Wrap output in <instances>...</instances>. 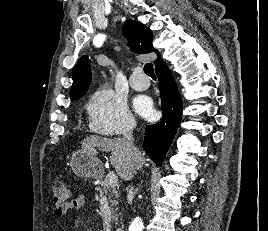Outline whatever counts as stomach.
<instances>
[{"mask_svg": "<svg viewBox=\"0 0 268 231\" xmlns=\"http://www.w3.org/2000/svg\"><path fill=\"white\" fill-rule=\"evenodd\" d=\"M70 166L73 172L81 178H97L102 174L100 160L83 148L73 152Z\"/></svg>", "mask_w": 268, "mask_h": 231, "instance_id": "stomach-1", "label": "stomach"}]
</instances>
